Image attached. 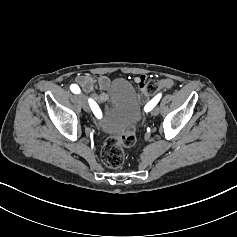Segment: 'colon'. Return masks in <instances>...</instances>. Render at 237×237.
Instances as JSON below:
<instances>
[{
	"label": "colon",
	"mask_w": 237,
	"mask_h": 237,
	"mask_svg": "<svg viewBox=\"0 0 237 237\" xmlns=\"http://www.w3.org/2000/svg\"><path fill=\"white\" fill-rule=\"evenodd\" d=\"M160 82L152 80L145 85V95L150 96L160 89ZM136 142V127H130L120 137H108L101 149V159L103 163L112 168L117 169L124 162L123 148L131 147Z\"/></svg>",
	"instance_id": "obj_1"
}]
</instances>
